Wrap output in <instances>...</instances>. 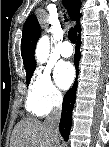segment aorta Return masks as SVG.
<instances>
[{"mask_svg":"<svg viewBox=\"0 0 109 147\" xmlns=\"http://www.w3.org/2000/svg\"><path fill=\"white\" fill-rule=\"evenodd\" d=\"M49 38L48 36H42L36 46L35 56L38 63H45L49 56Z\"/></svg>","mask_w":109,"mask_h":147,"instance_id":"1","label":"aorta"}]
</instances>
